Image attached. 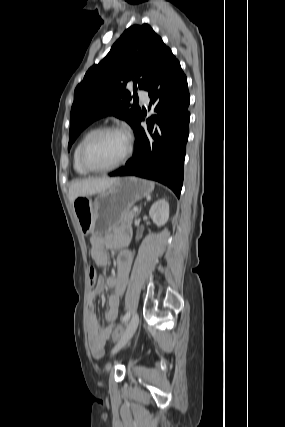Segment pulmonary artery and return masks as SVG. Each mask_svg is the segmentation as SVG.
<instances>
[{
	"mask_svg": "<svg viewBox=\"0 0 285 427\" xmlns=\"http://www.w3.org/2000/svg\"><path fill=\"white\" fill-rule=\"evenodd\" d=\"M138 97L144 104H148L149 102V96L148 93L144 89L138 90Z\"/></svg>",
	"mask_w": 285,
	"mask_h": 427,
	"instance_id": "obj_1",
	"label": "pulmonary artery"
}]
</instances>
